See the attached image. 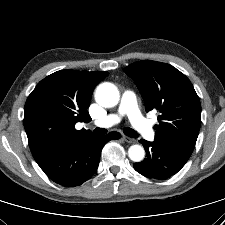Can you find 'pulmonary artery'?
I'll return each mask as SVG.
<instances>
[{
  "mask_svg": "<svg viewBox=\"0 0 225 225\" xmlns=\"http://www.w3.org/2000/svg\"><path fill=\"white\" fill-rule=\"evenodd\" d=\"M123 116H127L132 126L147 140L154 139V130L141 114L138 105L136 94L131 90H126L121 97L118 112L110 114L99 121L98 126H112L120 122Z\"/></svg>",
  "mask_w": 225,
  "mask_h": 225,
  "instance_id": "obj_1",
  "label": "pulmonary artery"
}]
</instances>
